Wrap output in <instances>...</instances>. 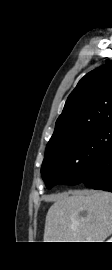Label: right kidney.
Wrapping results in <instances>:
<instances>
[{"label":"right kidney","mask_w":112,"mask_h":270,"mask_svg":"<svg viewBox=\"0 0 112 270\" xmlns=\"http://www.w3.org/2000/svg\"><path fill=\"white\" fill-rule=\"evenodd\" d=\"M107 242H112V237Z\"/></svg>","instance_id":"obj_1"}]
</instances>
